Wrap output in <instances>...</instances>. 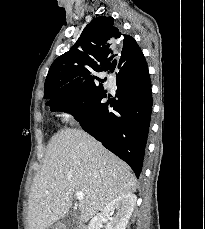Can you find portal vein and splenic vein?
Returning a JSON list of instances; mask_svg holds the SVG:
<instances>
[{
    "instance_id": "portal-vein-and-splenic-vein-1",
    "label": "portal vein and splenic vein",
    "mask_w": 205,
    "mask_h": 229,
    "mask_svg": "<svg viewBox=\"0 0 205 229\" xmlns=\"http://www.w3.org/2000/svg\"><path fill=\"white\" fill-rule=\"evenodd\" d=\"M75 195H76V198L78 200H83L84 199V193L81 192V191L76 192Z\"/></svg>"
}]
</instances>
